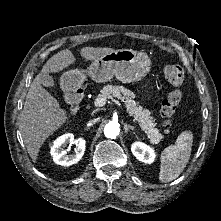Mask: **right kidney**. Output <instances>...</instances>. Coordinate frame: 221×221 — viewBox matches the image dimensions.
Here are the masks:
<instances>
[{"label":"right kidney","instance_id":"right-kidney-1","mask_svg":"<svg viewBox=\"0 0 221 221\" xmlns=\"http://www.w3.org/2000/svg\"><path fill=\"white\" fill-rule=\"evenodd\" d=\"M68 143H75V154L67 155V151L64 150L66 145ZM86 148V141L83 138H78L77 140L74 139V135L71 133L64 134L60 137H58L51 146L50 154L53 157V161L56 164L62 165V166H70L78 161L81 160V158L84 155Z\"/></svg>","mask_w":221,"mask_h":221}]
</instances>
